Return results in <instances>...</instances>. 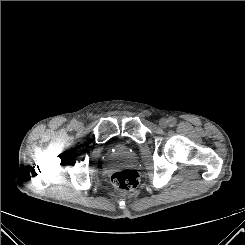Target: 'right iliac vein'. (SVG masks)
Returning <instances> with one entry per match:
<instances>
[{
	"instance_id": "1",
	"label": "right iliac vein",
	"mask_w": 245,
	"mask_h": 245,
	"mask_svg": "<svg viewBox=\"0 0 245 245\" xmlns=\"http://www.w3.org/2000/svg\"><path fill=\"white\" fill-rule=\"evenodd\" d=\"M83 127V124L81 123V122H78L77 124H76V128L77 129H81Z\"/></svg>"
}]
</instances>
